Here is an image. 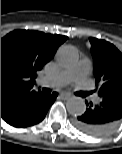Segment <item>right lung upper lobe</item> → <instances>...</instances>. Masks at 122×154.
I'll return each mask as SVG.
<instances>
[{"label": "right lung upper lobe", "mask_w": 122, "mask_h": 154, "mask_svg": "<svg viewBox=\"0 0 122 154\" xmlns=\"http://www.w3.org/2000/svg\"><path fill=\"white\" fill-rule=\"evenodd\" d=\"M66 36L15 30L1 39V117L33 90L37 71L49 62Z\"/></svg>", "instance_id": "right-lung-upper-lobe-1"}]
</instances>
